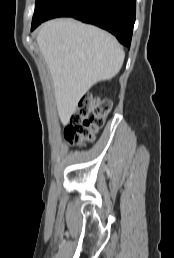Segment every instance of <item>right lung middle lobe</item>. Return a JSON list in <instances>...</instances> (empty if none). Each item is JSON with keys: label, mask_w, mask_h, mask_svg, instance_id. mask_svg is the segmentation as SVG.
<instances>
[{"label": "right lung middle lobe", "mask_w": 174, "mask_h": 258, "mask_svg": "<svg viewBox=\"0 0 174 258\" xmlns=\"http://www.w3.org/2000/svg\"><path fill=\"white\" fill-rule=\"evenodd\" d=\"M60 0H36L35 11L32 19L33 30L41 22L44 21L49 11L59 2Z\"/></svg>", "instance_id": "obj_1"}]
</instances>
